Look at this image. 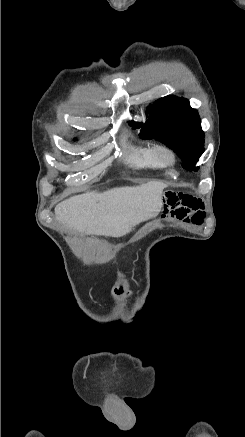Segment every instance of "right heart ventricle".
Returning <instances> with one entry per match:
<instances>
[{
	"label": "right heart ventricle",
	"mask_w": 245,
	"mask_h": 437,
	"mask_svg": "<svg viewBox=\"0 0 245 437\" xmlns=\"http://www.w3.org/2000/svg\"><path fill=\"white\" fill-rule=\"evenodd\" d=\"M124 161L135 169H161L164 163L154 154L152 147L124 136L121 141Z\"/></svg>",
	"instance_id": "obj_1"
}]
</instances>
